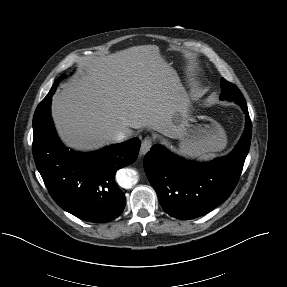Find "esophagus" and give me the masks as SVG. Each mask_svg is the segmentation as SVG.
<instances>
[{"mask_svg":"<svg viewBox=\"0 0 287 287\" xmlns=\"http://www.w3.org/2000/svg\"><path fill=\"white\" fill-rule=\"evenodd\" d=\"M152 144H153V140L151 137L148 136V137L144 138V140L142 141V144H141L140 154L145 155L150 150V148L152 147Z\"/></svg>","mask_w":287,"mask_h":287,"instance_id":"1","label":"esophagus"}]
</instances>
